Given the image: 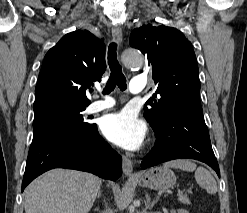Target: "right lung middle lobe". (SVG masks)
Listing matches in <instances>:
<instances>
[{"mask_svg": "<svg viewBox=\"0 0 247 213\" xmlns=\"http://www.w3.org/2000/svg\"><path fill=\"white\" fill-rule=\"evenodd\" d=\"M84 104H78L71 101L50 102L39 109L34 110L35 117L33 129L45 124H66L70 126L92 127L83 117V111L86 109Z\"/></svg>", "mask_w": 247, "mask_h": 213, "instance_id": "1", "label": "right lung middle lobe"}]
</instances>
